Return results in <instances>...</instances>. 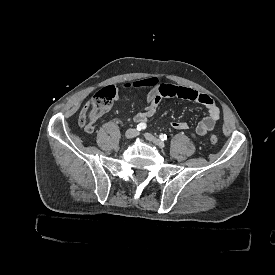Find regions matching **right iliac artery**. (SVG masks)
Wrapping results in <instances>:
<instances>
[{
    "mask_svg": "<svg viewBox=\"0 0 275 275\" xmlns=\"http://www.w3.org/2000/svg\"><path fill=\"white\" fill-rule=\"evenodd\" d=\"M145 128H146V124L145 123H139L137 125V130L138 131L144 130Z\"/></svg>",
    "mask_w": 275,
    "mask_h": 275,
    "instance_id": "1",
    "label": "right iliac artery"
}]
</instances>
